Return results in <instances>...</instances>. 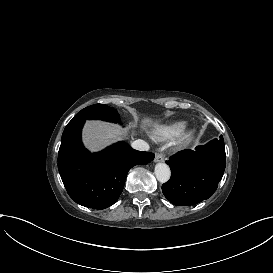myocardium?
<instances>
[{
    "label": "myocardium",
    "mask_w": 273,
    "mask_h": 273,
    "mask_svg": "<svg viewBox=\"0 0 273 273\" xmlns=\"http://www.w3.org/2000/svg\"><path fill=\"white\" fill-rule=\"evenodd\" d=\"M196 129L195 128H189L187 129L180 137L179 142L182 145L188 144L193 137L195 136Z\"/></svg>",
    "instance_id": "myocardium-1"
}]
</instances>
